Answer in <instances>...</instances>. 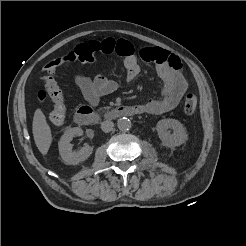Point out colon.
<instances>
[{
  "mask_svg": "<svg viewBox=\"0 0 246 246\" xmlns=\"http://www.w3.org/2000/svg\"><path fill=\"white\" fill-rule=\"evenodd\" d=\"M94 60L93 52L83 46H78L75 50L63 58H58L47 63L43 69L42 80L44 89L37 94L39 101L50 99L52 107L48 113V120L54 125H61L66 118V105L63 93L54 79V72L57 66L63 62H82L88 63ZM198 105L197 96L194 93H188L185 96L183 108L186 114H193Z\"/></svg>",
  "mask_w": 246,
  "mask_h": 246,
  "instance_id": "obj_1",
  "label": "colon"
}]
</instances>
